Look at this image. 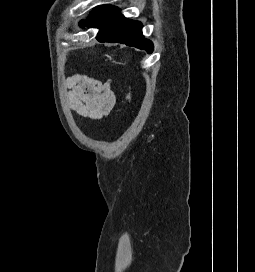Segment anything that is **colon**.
<instances>
[{
  "label": "colon",
  "mask_w": 255,
  "mask_h": 272,
  "mask_svg": "<svg viewBox=\"0 0 255 272\" xmlns=\"http://www.w3.org/2000/svg\"><path fill=\"white\" fill-rule=\"evenodd\" d=\"M121 63L124 65H127V62L124 59H121ZM132 100V91H131V86L129 87V92L127 95V101L130 103Z\"/></svg>",
  "instance_id": "colon-1"
}]
</instances>
